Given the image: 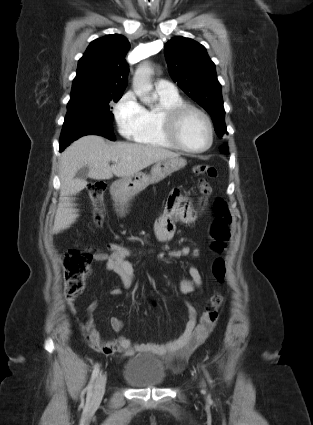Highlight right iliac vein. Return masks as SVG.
<instances>
[{"instance_id": "63e3f726", "label": "right iliac vein", "mask_w": 313, "mask_h": 425, "mask_svg": "<svg viewBox=\"0 0 313 425\" xmlns=\"http://www.w3.org/2000/svg\"><path fill=\"white\" fill-rule=\"evenodd\" d=\"M105 386H106V375L100 374L94 385L93 395L90 401L91 406H95L101 401L105 392Z\"/></svg>"}]
</instances>
